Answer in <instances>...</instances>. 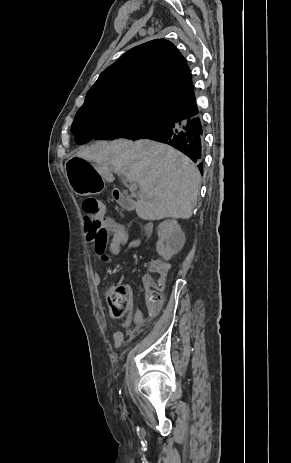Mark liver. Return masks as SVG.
<instances>
[{"instance_id": "6515ba94", "label": "liver", "mask_w": 291, "mask_h": 463, "mask_svg": "<svg viewBox=\"0 0 291 463\" xmlns=\"http://www.w3.org/2000/svg\"><path fill=\"white\" fill-rule=\"evenodd\" d=\"M77 158L93 162L98 174L111 183L115 172L140 187L136 213L143 220L189 219L197 204L200 173L195 164L176 149L149 139H118L83 147Z\"/></svg>"}]
</instances>
